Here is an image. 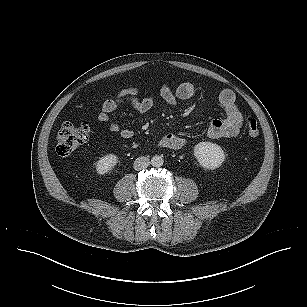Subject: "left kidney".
Returning <instances> with one entry per match:
<instances>
[{
	"mask_svg": "<svg viewBox=\"0 0 307 307\" xmlns=\"http://www.w3.org/2000/svg\"><path fill=\"white\" fill-rule=\"evenodd\" d=\"M194 156L199 164L206 169H216L225 160L223 149L211 142H200L194 147Z\"/></svg>",
	"mask_w": 307,
	"mask_h": 307,
	"instance_id": "1",
	"label": "left kidney"
}]
</instances>
